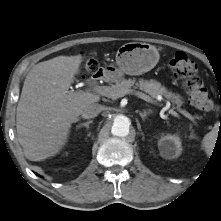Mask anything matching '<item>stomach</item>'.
<instances>
[{
	"label": "stomach",
	"mask_w": 221,
	"mask_h": 221,
	"mask_svg": "<svg viewBox=\"0 0 221 221\" xmlns=\"http://www.w3.org/2000/svg\"><path fill=\"white\" fill-rule=\"evenodd\" d=\"M159 61L157 48L148 43L130 42L122 45L116 54V67L109 66L108 72L113 80H121L123 74L141 75Z\"/></svg>",
	"instance_id": "0dacf381"
}]
</instances>
